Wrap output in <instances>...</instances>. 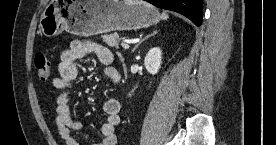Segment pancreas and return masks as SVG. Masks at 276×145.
<instances>
[{
    "mask_svg": "<svg viewBox=\"0 0 276 145\" xmlns=\"http://www.w3.org/2000/svg\"><path fill=\"white\" fill-rule=\"evenodd\" d=\"M103 42L106 43L110 47H115L119 49V36L118 34H109V35H102Z\"/></svg>",
    "mask_w": 276,
    "mask_h": 145,
    "instance_id": "obj_1",
    "label": "pancreas"
}]
</instances>
